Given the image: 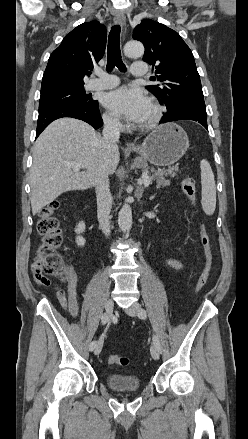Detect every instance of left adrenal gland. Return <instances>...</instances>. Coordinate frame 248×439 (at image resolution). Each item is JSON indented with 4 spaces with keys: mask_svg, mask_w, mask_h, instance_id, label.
<instances>
[{
    "mask_svg": "<svg viewBox=\"0 0 248 439\" xmlns=\"http://www.w3.org/2000/svg\"><path fill=\"white\" fill-rule=\"evenodd\" d=\"M153 198H154V196H151V197H150V199H153Z\"/></svg>",
    "mask_w": 248,
    "mask_h": 439,
    "instance_id": "obj_1",
    "label": "left adrenal gland"
}]
</instances>
